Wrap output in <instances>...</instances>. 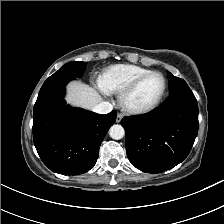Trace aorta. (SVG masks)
Returning <instances> with one entry per match:
<instances>
[{
	"label": "aorta",
	"instance_id": "1",
	"mask_svg": "<svg viewBox=\"0 0 224 224\" xmlns=\"http://www.w3.org/2000/svg\"><path fill=\"white\" fill-rule=\"evenodd\" d=\"M109 135L114 140L122 139L125 135L124 128L121 125L115 124L109 129Z\"/></svg>",
	"mask_w": 224,
	"mask_h": 224
}]
</instances>
